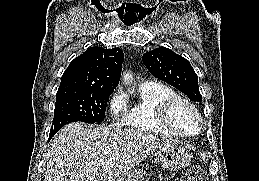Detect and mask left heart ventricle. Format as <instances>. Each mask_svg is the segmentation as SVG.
I'll return each instance as SVG.
<instances>
[{"label": "left heart ventricle", "mask_w": 259, "mask_h": 181, "mask_svg": "<svg viewBox=\"0 0 259 181\" xmlns=\"http://www.w3.org/2000/svg\"><path fill=\"white\" fill-rule=\"evenodd\" d=\"M175 123L186 131H194L196 129V118L189 108L180 105L174 114Z\"/></svg>", "instance_id": "left-heart-ventricle-1"}]
</instances>
